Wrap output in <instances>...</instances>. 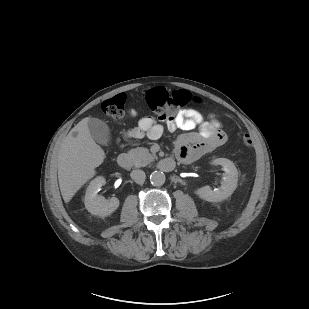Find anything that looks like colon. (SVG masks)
Masks as SVG:
<instances>
[{
  "mask_svg": "<svg viewBox=\"0 0 309 309\" xmlns=\"http://www.w3.org/2000/svg\"><path fill=\"white\" fill-rule=\"evenodd\" d=\"M147 102L150 108L158 114V119L164 121L171 117L173 112L182 108L190 102H199V98H193L186 90L168 91L163 87H157L147 93ZM125 97L123 94H118L102 103L103 112L112 119H122L124 117ZM243 144L246 147H251L253 144L249 134H244L242 137Z\"/></svg>",
  "mask_w": 309,
  "mask_h": 309,
  "instance_id": "obj_1",
  "label": "colon"
}]
</instances>
